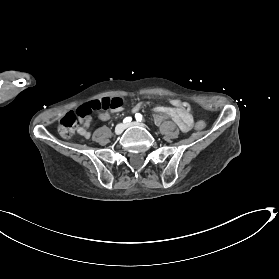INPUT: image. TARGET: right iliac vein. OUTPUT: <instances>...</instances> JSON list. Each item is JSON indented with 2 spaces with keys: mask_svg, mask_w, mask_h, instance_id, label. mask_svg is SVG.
<instances>
[{
  "mask_svg": "<svg viewBox=\"0 0 279 279\" xmlns=\"http://www.w3.org/2000/svg\"><path fill=\"white\" fill-rule=\"evenodd\" d=\"M124 129H125V125H124V124H122V123L118 124V125L115 127V134H116V135L122 134V132L124 131Z\"/></svg>",
  "mask_w": 279,
  "mask_h": 279,
  "instance_id": "right-iliac-vein-1",
  "label": "right iliac vein"
}]
</instances>
